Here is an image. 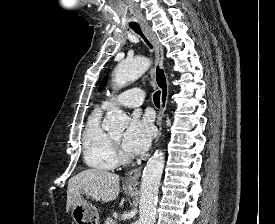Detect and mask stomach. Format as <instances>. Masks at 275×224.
I'll use <instances>...</instances> for the list:
<instances>
[{
    "label": "stomach",
    "instance_id": "1",
    "mask_svg": "<svg viewBox=\"0 0 275 224\" xmlns=\"http://www.w3.org/2000/svg\"><path fill=\"white\" fill-rule=\"evenodd\" d=\"M126 192L134 195L135 190L126 188ZM71 216L75 224H99L97 208L82 198L72 205Z\"/></svg>",
    "mask_w": 275,
    "mask_h": 224
}]
</instances>
